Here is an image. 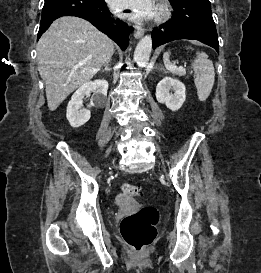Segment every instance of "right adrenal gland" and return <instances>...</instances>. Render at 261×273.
<instances>
[{"label": "right adrenal gland", "instance_id": "obj_1", "mask_svg": "<svg viewBox=\"0 0 261 273\" xmlns=\"http://www.w3.org/2000/svg\"><path fill=\"white\" fill-rule=\"evenodd\" d=\"M109 63H110V60H108L105 64H104V70L103 71H110V68H109Z\"/></svg>", "mask_w": 261, "mask_h": 273}]
</instances>
